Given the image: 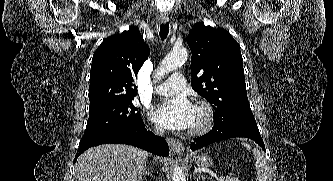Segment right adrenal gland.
I'll use <instances>...</instances> for the list:
<instances>
[{"mask_svg": "<svg viewBox=\"0 0 333 181\" xmlns=\"http://www.w3.org/2000/svg\"><path fill=\"white\" fill-rule=\"evenodd\" d=\"M143 173L145 176L143 177V179L141 181H144V180L146 181L147 176H152V173L149 171V169L148 170L144 169Z\"/></svg>", "mask_w": 333, "mask_h": 181, "instance_id": "right-adrenal-gland-1", "label": "right adrenal gland"}]
</instances>
